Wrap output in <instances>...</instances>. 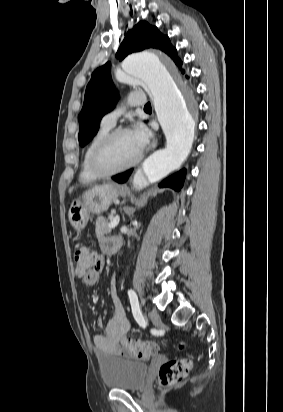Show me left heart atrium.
<instances>
[{
	"instance_id": "obj_1",
	"label": "left heart atrium",
	"mask_w": 283,
	"mask_h": 412,
	"mask_svg": "<svg viewBox=\"0 0 283 412\" xmlns=\"http://www.w3.org/2000/svg\"><path fill=\"white\" fill-rule=\"evenodd\" d=\"M136 145L142 151L148 144L150 140V132L143 124H137L130 131Z\"/></svg>"
}]
</instances>
